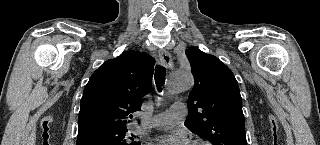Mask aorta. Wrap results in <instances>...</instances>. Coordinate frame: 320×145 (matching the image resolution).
I'll return each mask as SVG.
<instances>
[{"mask_svg": "<svg viewBox=\"0 0 320 145\" xmlns=\"http://www.w3.org/2000/svg\"><path fill=\"white\" fill-rule=\"evenodd\" d=\"M194 84L193 76L190 72L174 71L168 81L166 95H174L190 89Z\"/></svg>", "mask_w": 320, "mask_h": 145, "instance_id": "1", "label": "aorta"}]
</instances>
